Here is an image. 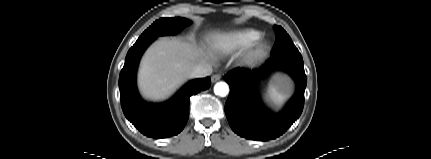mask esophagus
I'll return each mask as SVG.
<instances>
[{
    "mask_svg": "<svg viewBox=\"0 0 431 159\" xmlns=\"http://www.w3.org/2000/svg\"><path fill=\"white\" fill-rule=\"evenodd\" d=\"M220 79H221V75L220 74H214L211 77L212 83H215V82L219 81Z\"/></svg>",
    "mask_w": 431,
    "mask_h": 159,
    "instance_id": "esophagus-1",
    "label": "esophagus"
}]
</instances>
